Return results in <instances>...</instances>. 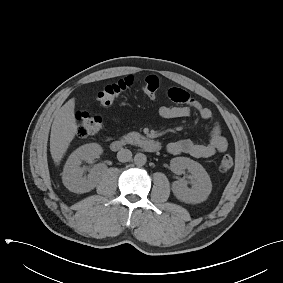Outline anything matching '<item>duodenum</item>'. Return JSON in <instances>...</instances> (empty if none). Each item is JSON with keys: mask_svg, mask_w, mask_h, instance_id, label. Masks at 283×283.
Wrapping results in <instances>:
<instances>
[{"mask_svg": "<svg viewBox=\"0 0 283 283\" xmlns=\"http://www.w3.org/2000/svg\"><path fill=\"white\" fill-rule=\"evenodd\" d=\"M140 146L148 152H158L161 149V144L153 139L141 138L139 141ZM124 147V143L121 140H114L110 144V149L114 152L120 151Z\"/></svg>", "mask_w": 283, "mask_h": 283, "instance_id": "duodenum-1", "label": "duodenum"}]
</instances>
